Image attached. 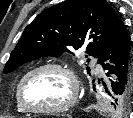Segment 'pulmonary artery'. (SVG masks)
Masks as SVG:
<instances>
[{
  "label": "pulmonary artery",
  "instance_id": "e3ab8cb5",
  "mask_svg": "<svg viewBox=\"0 0 133 118\" xmlns=\"http://www.w3.org/2000/svg\"><path fill=\"white\" fill-rule=\"evenodd\" d=\"M93 62H94V63H97V60H96V59H94V60H93ZM98 69H99V70H101V69H102V66H101L100 64L98 65Z\"/></svg>",
  "mask_w": 133,
  "mask_h": 118
}]
</instances>
